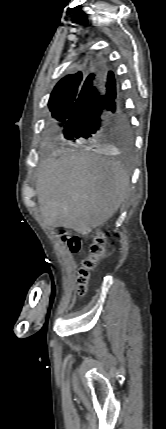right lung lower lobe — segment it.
<instances>
[{
    "mask_svg": "<svg viewBox=\"0 0 166 429\" xmlns=\"http://www.w3.org/2000/svg\"><path fill=\"white\" fill-rule=\"evenodd\" d=\"M129 126L112 72L86 75L64 124L63 135L89 144L104 143L114 130Z\"/></svg>",
    "mask_w": 166,
    "mask_h": 429,
    "instance_id": "98d812e1",
    "label": "right lung lower lobe"
}]
</instances>
